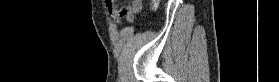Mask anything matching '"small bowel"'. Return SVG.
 I'll use <instances>...</instances> for the list:
<instances>
[{
	"instance_id": "obj_1",
	"label": "small bowel",
	"mask_w": 279,
	"mask_h": 82,
	"mask_svg": "<svg viewBox=\"0 0 279 82\" xmlns=\"http://www.w3.org/2000/svg\"><path fill=\"white\" fill-rule=\"evenodd\" d=\"M106 7L111 17L118 23H120L123 18L128 22H132L141 10V6L136 7L133 1L126 7H119L116 2L106 1Z\"/></svg>"
}]
</instances>
